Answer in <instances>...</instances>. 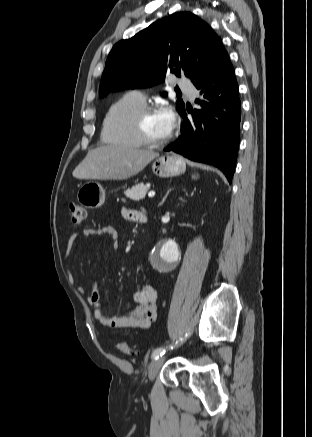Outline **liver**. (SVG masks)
Here are the masks:
<instances>
[{
  "label": "liver",
  "instance_id": "liver-1",
  "mask_svg": "<svg viewBox=\"0 0 312 437\" xmlns=\"http://www.w3.org/2000/svg\"><path fill=\"white\" fill-rule=\"evenodd\" d=\"M158 156L152 150L130 146H100L87 153L73 171V176L78 179L125 180L138 174Z\"/></svg>",
  "mask_w": 312,
  "mask_h": 437
}]
</instances>
